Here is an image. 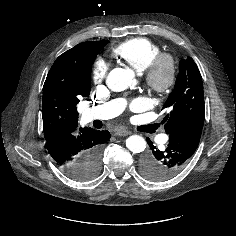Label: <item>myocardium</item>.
Instances as JSON below:
<instances>
[{"label": "myocardium", "mask_w": 236, "mask_h": 236, "mask_svg": "<svg viewBox=\"0 0 236 236\" xmlns=\"http://www.w3.org/2000/svg\"><path fill=\"white\" fill-rule=\"evenodd\" d=\"M147 87L158 95H166L173 89L178 75L177 58L168 52L156 55L142 71Z\"/></svg>", "instance_id": "f54148a6"}]
</instances>
